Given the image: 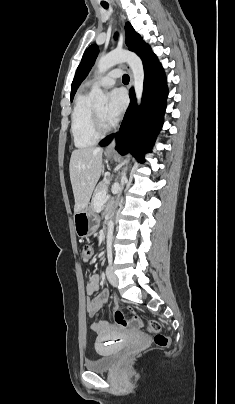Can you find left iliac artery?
I'll return each instance as SVG.
<instances>
[{
    "label": "left iliac artery",
    "instance_id": "obj_1",
    "mask_svg": "<svg viewBox=\"0 0 235 404\" xmlns=\"http://www.w3.org/2000/svg\"><path fill=\"white\" fill-rule=\"evenodd\" d=\"M107 255H108V263H109V265H111L112 264V249H111V247H108Z\"/></svg>",
    "mask_w": 235,
    "mask_h": 404
}]
</instances>
